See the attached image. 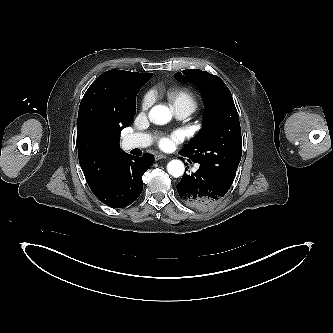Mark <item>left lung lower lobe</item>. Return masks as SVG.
Listing matches in <instances>:
<instances>
[{
  "instance_id": "left-lung-lower-lobe-1",
  "label": "left lung lower lobe",
  "mask_w": 333,
  "mask_h": 333,
  "mask_svg": "<svg viewBox=\"0 0 333 333\" xmlns=\"http://www.w3.org/2000/svg\"><path fill=\"white\" fill-rule=\"evenodd\" d=\"M230 186L220 181L203 167L191 175L184 174L177 185L181 200L187 205L207 210L216 205L228 192Z\"/></svg>"
}]
</instances>
